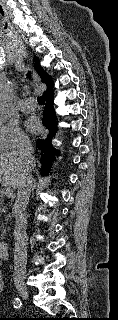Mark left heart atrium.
Here are the masks:
<instances>
[{"label":"left heart atrium","instance_id":"39dd6f15","mask_svg":"<svg viewBox=\"0 0 118 320\" xmlns=\"http://www.w3.org/2000/svg\"><path fill=\"white\" fill-rule=\"evenodd\" d=\"M26 127L30 132L37 133L41 130V123L37 117L31 116L26 121Z\"/></svg>","mask_w":118,"mask_h":320}]
</instances>
